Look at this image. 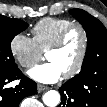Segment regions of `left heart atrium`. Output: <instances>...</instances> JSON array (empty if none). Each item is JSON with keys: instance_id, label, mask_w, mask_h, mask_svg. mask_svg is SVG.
Returning a JSON list of instances; mask_svg holds the SVG:
<instances>
[{"instance_id": "39dd6f15", "label": "left heart atrium", "mask_w": 107, "mask_h": 107, "mask_svg": "<svg viewBox=\"0 0 107 107\" xmlns=\"http://www.w3.org/2000/svg\"><path fill=\"white\" fill-rule=\"evenodd\" d=\"M28 75L39 83L53 84L59 81L64 73L57 63L49 61L33 67Z\"/></svg>"}]
</instances>
